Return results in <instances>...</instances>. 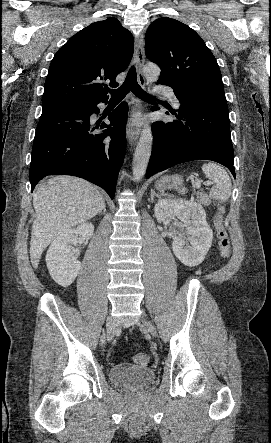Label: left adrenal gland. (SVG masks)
I'll use <instances>...</instances> for the list:
<instances>
[{"instance_id": "a2214340", "label": "left adrenal gland", "mask_w": 271, "mask_h": 443, "mask_svg": "<svg viewBox=\"0 0 271 443\" xmlns=\"http://www.w3.org/2000/svg\"><path fill=\"white\" fill-rule=\"evenodd\" d=\"M154 196H156V198H161V196H159V194H156L155 190H151V196H150V202H154Z\"/></svg>"}]
</instances>
